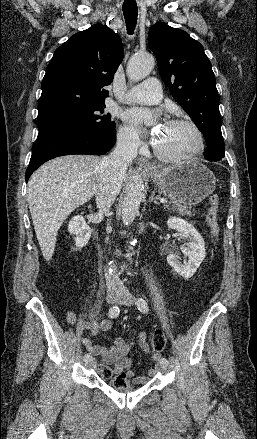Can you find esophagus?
<instances>
[{
	"mask_svg": "<svg viewBox=\"0 0 257 439\" xmlns=\"http://www.w3.org/2000/svg\"><path fill=\"white\" fill-rule=\"evenodd\" d=\"M138 165L144 169V170H154L155 166L151 164L147 159L145 158H139L138 159Z\"/></svg>",
	"mask_w": 257,
	"mask_h": 439,
	"instance_id": "obj_1",
	"label": "esophagus"
}]
</instances>
